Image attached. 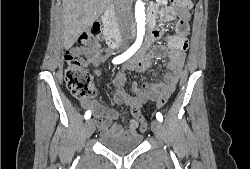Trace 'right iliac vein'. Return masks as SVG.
<instances>
[{
    "mask_svg": "<svg viewBox=\"0 0 250 169\" xmlns=\"http://www.w3.org/2000/svg\"><path fill=\"white\" fill-rule=\"evenodd\" d=\"M95 130V125L92 120H87L84 126V136L89 139Z\"/></svg>",
    "mask_w": 250,
    "mask_h": 169,
    "instance_id": "1",
    "label": "right iliac vein"
}]
</instances>
